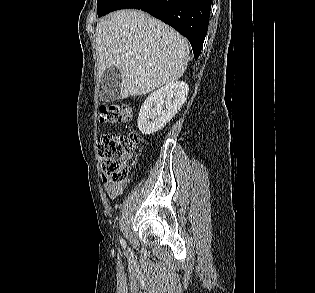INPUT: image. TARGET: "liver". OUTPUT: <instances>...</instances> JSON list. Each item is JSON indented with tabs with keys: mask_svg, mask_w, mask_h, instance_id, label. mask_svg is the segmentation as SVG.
I'll return each instance as SVG.
<instances>
[{
	"mask_svg": "<svg viewBox=\"0 0 315 293\" xmlns=\"http://www.w3.org/2000/svg\"><path fill=\"white\" fill-rule=\"evenodd\" d=\"M99 75L121 72L120 99L145 95L178 80L186 70L190 46L174 29L137 10H119L96 26Z\"/></svg>",
	"mask_w": 315,
	"mask_h": 293,
	"instance_id": "liver-1",
	"label": "liver"
}]
</instances>
